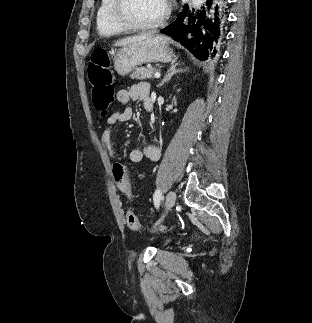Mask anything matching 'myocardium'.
Masks as SVG:
<instances>
[{"instance_id": "myocardium-1", "label": "myocardium", "mask_w": 312, "mask_h": 323, "mask_svg": "<svg viewBox=\"0 0 312 323\" xmlns=\"http://www.w3.org/2000/svg\"><path fill=\"white\" fill-rule=\"evenodd\" d=\"M111 10L110 17H113L117 25H123L125 31H149V27L155 25H163L164 21L169 20V15L173 11L171 0H162V12L160 18H153L152 20H131L127 12H122L125 9L124 0H110Z\"/></svg>"}]
</instances>
